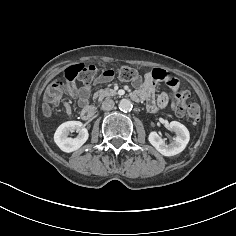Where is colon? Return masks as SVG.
<instances>
[{
    "mask_svg": "<svg viewBox=\"0 0 236 236\" xmlns=\"http://www.w3.org/2000/svg\"><path fill=\"white\" fill-rule=\"evenodd\" d=\"M96 67L94 65L77 64L67 68L63 73L58 75L50 85L46 93V104L44 106V112L49 116L52 112V107L59 102L60 90L66 84H72L79 80L84 83H90L96 73ZM114 74L113 70H107L104 72V76L110 77ZM120 79L125 81L137 79V71L130 66H123L118 71ZM174 82L170 78L169 82ZM73 86V85H71ZM189 92L186 90H175L174 98L176 99V113L180 116L187 115L194 123L200 118V108L197 104L187 103L189 98Z\"/></svg>",
    "mask_w": 236,
    "mask_h": 236,
    "instance_id": "1",
    "label": "colon"
}]
</instances>
